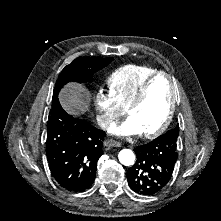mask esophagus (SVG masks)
<instances>
[{
	"label": "esophagus",
	"instance_id": "esophagus-1",
	"mask_svg": "<svg viewBox=\"0 0 221 221\" xmlns=\"http://www.w3.org/2000/svg\"><path fill=\"white\" fill-rule=\"evenodd\" d=\"M104 146L108 147V148H112V147H120V143L116 142L114 140H105L104 141Z\"/></svg>",
	"mask_w": 221,
	"mask_h": 221
}]
</instances>
